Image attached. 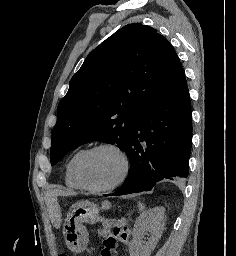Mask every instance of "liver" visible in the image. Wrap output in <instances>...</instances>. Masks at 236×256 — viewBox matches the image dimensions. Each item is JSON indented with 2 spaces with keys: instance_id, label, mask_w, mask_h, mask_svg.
<instances>
[{
  "instance_id": "obj_1",
  "label": "liver",
  "mask_w": 236,
  "mask_h": 256,
  "mask_svg": "<svg viewBox=\"0 0 236 256\" xmlns=\"http://www.w3.org/2000/svg\"><path fill=\"white\" fill-rule=\"evenodd\" d=\"M57 196H58L57 192H46L45 194V202L47 204V208H48V212L51 220H53L55 210L58 206ZM68 196H76V192H69Z\"/></svg>"
}]
</instances>
